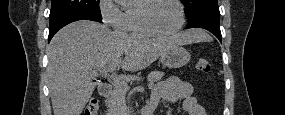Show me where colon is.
Returning a JSON list of instances; mask_svg holds the SVG:
<instances>
[{
    "mask_svg": "<svg viewBox=\"0 0 285 115\" xmlns=\"http://www.w3.org/2000/svg\"><path fill=\"white\" fill-rule=\"evenodd\" d=\"M196 68L203 73H209L211 66L206 58H199L196 62ZM99 113V102L97 99L92 98L88 101L86 108H85V114L86 115H96Z\"/></svg>",
    "mask_w": 285,
    "mask_h": 115,
    "instance_id": "obj_1",
    "label": "colon"
}]
</instances>
